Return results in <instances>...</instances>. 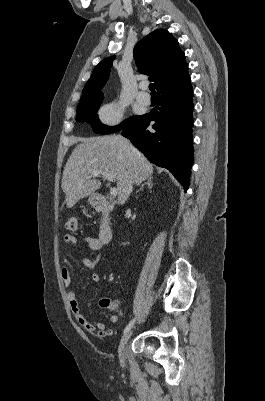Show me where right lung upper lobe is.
I'll return each instance as SVG.
<instances>
[{"mask_svg":"<svg viewBox=\"0 0 265 401\" xmlns=\"http://www.w3.org/2000/svg\"><path fill=\"white\" fill-rule=\"evenodd\" d=\"M133 53L139 71L155 82L158 94L177 89L190 81L184 52L167 30L151 32L136 44ZM114 58L108 57L95 67L83 89L80 103L102 95L100 89L108 79Z\"/></svg>","mask_w":265,"mask_h":401,"instance_id":"1","label":"right lung upper lobe"}]
</instances>
